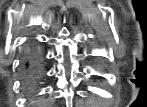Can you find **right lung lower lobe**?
<instances>
[{
  "label": "right lung lower lobe",
  "mask_w": 147,
  "mask_h": 107,
  "mask_svg": "<svg viewBox=\"0 0 147 107\" xmlns=\"http://www.w3.org/2000/svg\"><path fill=\"white\" fill-rule=\"evenodd\" d=\"M24 77L26 84L30 88L37 86L42 77L40 59L36 52H32L31 54H29L25 62Z\"/></svg>",
  "instance_id": "obj_1"
}]
</instances>
